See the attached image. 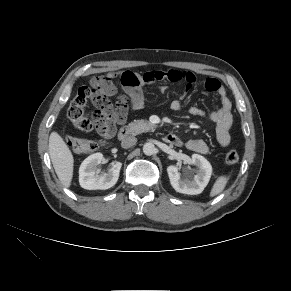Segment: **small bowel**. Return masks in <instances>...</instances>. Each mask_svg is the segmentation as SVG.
<instances>
[{
  "mask_svg": "<svg viewBox=\"0 0 291 291\" xmlns=\"http://www.w3.org/2000/svg\"><path fill=\"white\" fill-rule=\"evenodd\" d=\"M118 78L123 88V94L118 95L117 102L113 105L107 98V104L101 112V123L98 126V132L106 137L113 135L117 124H123L130 112L140 110L144 105V86L153 85L161 81H169L173 83H184L185 91L190 90L196 83V76L188 71L180 70H155L148 71L143 74L132 71H123L119 73H110L104 77H97L91 81V85H97L102 79L109 81L110 86L106 91V97L118 94L113 79ZM213 81L216 85L211 86ZM164 88V87H163ZM206 92L216 93L220 97V107L211 112L197 107L191 106L188 112L192 116L204 117L209 119L216 126V140L219 146L226 147L230 144V128L233 123V115L231 111V101L227 96L225 88L215 78H208L205 81ZM183 104L180 100H174L171 103V109L180 111ZM183 142L179 139L177 146H181ZM187 149L197 153H207L208 145L202 139H191L185 143Z\"/></svg>",
  "mask_w": 291,
  "mask_h": 291,
  "instance_id": "c3829d8e",
  "label": "small bowel"
}]
</instances>
